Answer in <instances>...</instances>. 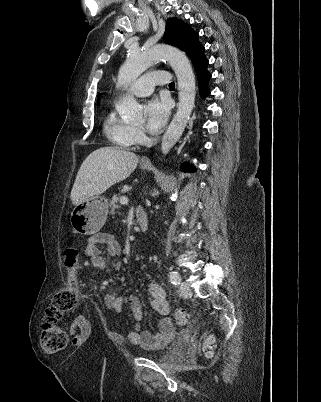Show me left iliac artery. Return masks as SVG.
Masks as SVG:
<instances>
[{"instance_id": "left-iliac-artery-1", "label": "left iliac artery", "mask_w": 321, "mask_h": 402, "mask_svg": "<svg viewBox=\"0 0 321 402\" xmlns=\"http://www.w3.org/2000/svg\"><path fill=\"white\" fill-rule=\"evenodd\" d=\"M170 281L173 285L178 286L181 281V277L176 271H171L169 274Z\"/></svg>"}]
</instances>
